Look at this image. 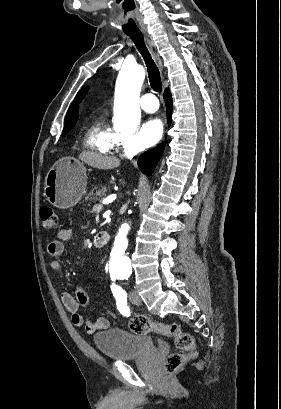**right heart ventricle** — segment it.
Listing matches in <instances>:
<instances>
[{"label": "right heart ventricle", "instance_id": "1", "mask_svg": "<svg viewBox=\"0 0 281 409\" xmlns=\"http://www.w3.org/2000/svg\"><path fill=\"white\" fill-rule=\"evenodd\" d=\"M90 149L99 156H108L116 150L129 152L121 143L120 136L107 124L104 118L95 120L89 128Z\"/></svg>", "mask_w": 281, "mask_h": 409}]
</instances>
